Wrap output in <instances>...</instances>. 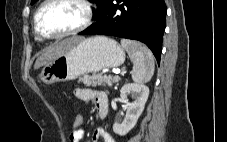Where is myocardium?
<instances>
[{"label":"myocardium","instance_id":"obj_1","mask_svg":"<svg viewBox=\"0 0 227 142\" xmlns=\"http://www.w3.org/2000/svg\"><path fill=\"white\" fill-rule=\"evenodd\" d=\"M57 1H60V0H45L38 7V9L35 13V16H34V31L37 36H39L40 38H43V39H60V38H64L67 36L75 35L81 31L85 30L91 24L93 17H94L93 4L89 0H74V1L78 2L84 9V19L79 26H77L76 28H74L70 31L63 32L60 34L50 35V34H45V33L41 32V30L39 28V22H38L40 13L47 5H49L53 2H57Z\"/></svg>","mask_w":227,"mask_h":142}]
</instances>
